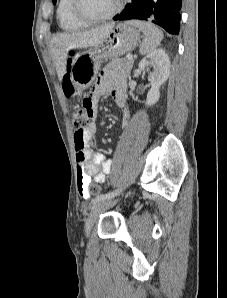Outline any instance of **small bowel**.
I'll return each instance as SVG.
<instances>
[{
  "mask_svg": "<svg viewBox=\"0 0 227 298\" xmlns=\"http://www.w3.org/2000/svg\"><path fill=\"white\" fill-rule=\"evenodd\" d=\"M109 92L119 107L126 104V83L124 79L117 74L105 71L95 82L91 98H83L82 108L87 115H99L98 103L101 96ZM97 132L96 118H89V126L84 131L85 150L84 159H79L76 152L78 187L79 193L84 199H89L86 187L91 180L97 183H104L106 175L111 172L112 160L103 153L94 151V136ZM75 142V137H74ZM79 173H84V178H79Z\"/></svg>",
  "mask_w": 227,
  "mask_h": 298,
  "instance_id": "1",
  "label": "small bowel"
}]
</instances>
